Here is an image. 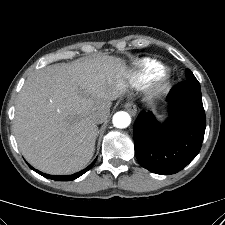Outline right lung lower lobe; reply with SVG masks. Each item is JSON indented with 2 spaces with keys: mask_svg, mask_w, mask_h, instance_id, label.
Listing matches in <instances>:
<instances>
[{
  "mask_svg": "<svg viewBox=\"0 0 225 225\" xmlns=\"http://www.w3.org/2000/svg\"><path fill=\"white\" fill-rule=\"evenodd\" d=\"M96 161V160H95ZM92 162L88 167H86L85 169H83L82 171L80 172H77L73 175H63V176H55V175H49V174H45V173H42L36 169H34L32 166H30L29 164V167L31 169H33L34 171H36L37 173H39L40 175L46 177V178H49V179H52V180H58V181H71V180H75L76 178L80 177L81 175H83L84 173H86L92 166L93 164L95 163Z\"/></svg>",
  "mask_w": 225,
  "mask_h": 225,
  "instance_id": "obj_1",
  "label": "right lung lower lobe"
}]
</instances>
